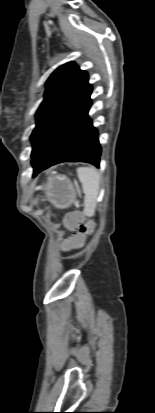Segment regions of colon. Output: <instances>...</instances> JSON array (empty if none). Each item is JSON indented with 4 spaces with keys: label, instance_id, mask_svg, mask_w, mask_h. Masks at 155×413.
Returning <instances> with one entry per match:
<instances>
[{
    "label": "colon",
    "instance_id": "1",
    "mask_svg": "<svg viewBox=\"0 0 155 413\" xmlns=\"http://www.w3.org/2000/svg\"><path fill=\"white\" fill-rule=\"evenodd\" d=\"M69 224H74L75 223V218L74 217H70L67 221ZM81 233L85 234L89 232V228L87 226H84L81 228ZM57 246H64V247H68V248H73L74 250H79L81 247L85 246V241L81 240V239H75L74 237H70L68 240H64L62 242L57 241L56 242Z\"/></svg>",
    "mask_w": 155,
    "mask_h": 413
}]
</instances>
